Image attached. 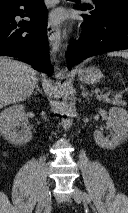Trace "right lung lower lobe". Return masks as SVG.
I'll return each mask as SVG.
<instances>
[{
	"label": "right lung lower lobe",
	"instance_id": "right-lung-lower-lobe-1",
	"mask_svg": "<svg viewBox=\"0 0 128 213\" xmlns=\"http://www.w3.org/2000/svg\"><path fill=\"white\" fill-rule=\"evenodd\" d=\"M20 6H24L28 12L24 14L19 9ZM46 13L43 0H18L13 4L0 6V56L22 59L35 69L52 74L48 56ZM17 15H26L31 21L17 23Z\"/></svg>",
	"mask_w": 128,
	"mask_h": 213
}]
</instances>
